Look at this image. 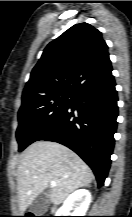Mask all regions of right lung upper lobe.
<instances>
[{
    "instance_id": "cb5924a9",
    "label": "right lung upper lobe",
    "mask_w": 132,
    "mask_h": 217,
    "mask_svg": "<svg viewBox=\"0 0 132 217\" xmlns=\"http://www.w3.org/2000/svg\"><path fill=\"white\" fill-rule=\"evenodd\" d=\"M102 34L88 23L72 26L44 49L22 98L59 92L76 94L113 77Z\"/></svg>"
}]
</instances>
